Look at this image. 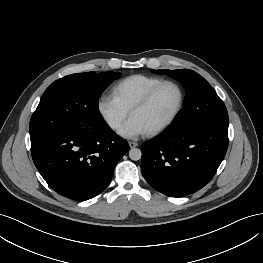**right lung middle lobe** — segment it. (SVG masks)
<instances>
[{
  "instance_id": "dd1d6c3e",
  "label": "right lung middle lobe",
  "mask_w": 263,
  "mask_h": 263,
  "mask_svg": "<svg viewBox=\"0 0 263 263\" xmlns=\"http://www.w3.org/2000/svg\"><path fill=\"white\" fill-rule=\"evenodd\" d=\"M119 77V72H86L53 82L31 117V144L66 129L104 123L98 100L104 89Z\"/></svg>"
}]
</instances>
